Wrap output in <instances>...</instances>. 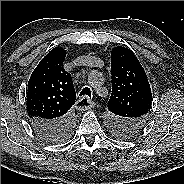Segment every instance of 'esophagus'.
<instances>
[{
  "instance_id": "1",
  "label": "esophagus",
  "mask_w": 184,
  "mask_h": 184,
  "mask_svg": "<svg viewBox=\"0 0 184 184\" xmlns=\"http://www.w3.org/2000/svg\"><path fill=\"white\" fill-rule=\"evenodd\" d=\"M76 107L79 110H89L95 107V103L93 101H91L90 99H88L87 97H81L80 99H78L77 103H76Z\"/></svg>"
}]
</instances>
